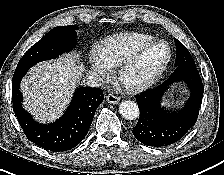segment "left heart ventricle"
<instances>
[{
    "instance_id": "1",
    "label": "left heart ventricle",
    "mask_w": 224,
    "mask_h": 175,
    "mask_svg": "<svg viewBox=\"0 0 224 175\" xmlns=\"http://www.w3.org/2000/svg\"><path fill=\"white\" fill-rule=\"evenodd\" d=\"M166 53V47L162 44L148 49L137 64L126 74L125 81L133 83L151 76L164 61Z\"/></svg>"
}]
</instances>
